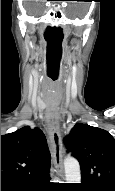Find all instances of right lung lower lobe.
I'll use <instances>...</instances> for the list:
<instances>
[{"label":"right lung lower lobe","instance_id":"right-lung-lower-lobe-1","mask_svg":"<svg viewBox=\"0 0 115 191\" xmlns=\"http://www.w3.org/2000/svg\"><path fill=\"white\" fill-rule=\"evenodd\" d=\"M49 180L50 176L23 185H1V191H46L49 188Z\"/></svg>","mask_w":115,"mask_h":191}]
</instances>
